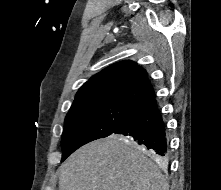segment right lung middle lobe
<instances>
[{
  "mask_svg": "<svg viewBox=\"0 0 221 190\" xmlns=\"http://www.w3.org/2000/svg\"><path fill=\"white\" fill-rule=\"evenodd\" d=\"M134 110L115 103L72 106L65 118L61 141L62 161L80 146L114 133Z\"/></svg>",
  "mask_w": 221,
  "mask_h": 190,
  "instance_id": "1",
  "label": "right lung middle lobe"
}]
</instances>
